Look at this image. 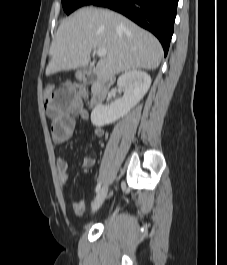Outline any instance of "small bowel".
<instances>
[{"instance_id": "small-bowel-1", "label": "small bowel", "mask_w": 227, "mask_h": 265, "mask_svg": "<svg viewBox=\"0 0 227 265\" xmlns=\"http://www.w3.org/2000/svg\"><path fill=\"white\" fill-rule=\"evenodd\" d=\"M50 102H44L46 113L51 119V134L55 143L61 144L68 141L74 134L75 116L87 120L89 112L84 108V99H81L82 91H76V87H58V91L53 92ZM94 134L101 138L104 130L95 127ZM96 159L93 156H85L82 166L90 168L94 166ZM58 178L62 186L68 185V162L64 158H58L56 162ZM73 210L76 215L81 216L85 212V203L78 200L73 203Z\"/></svg>"}]
</instances>
